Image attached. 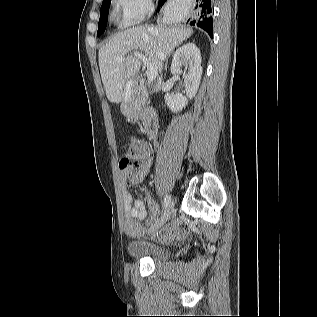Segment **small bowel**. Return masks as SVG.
Wrapping results in <instances>:
<instances>
[{"instance_id":"obj_1","label":"small bowel","mask_w":317,"mask_h":317,"mask_svg":"<svg viewBox=\"0 0 317 317\" xmlns=\"http://www.w3.org/2000/svg\"><path fill=\"white\" fill-rule=\"evenodd\" d=\"M137 148L141 154V157L145 161L146 172L150 167L149 159V148L143 142L137 143ZM129 179L125 173L122 174V185L123 189V201H124V212H125V232L129 236H137L143 228L137 223V220H143L146 217V211L142 198L133 199L131 194L125 189V186L129 183ZM139 181V180H138ZM132 181V182H138ZM147 202L152 215H157L159 208L154 200L147 197ZM153 222V218L149 220V224ZM188 233L187 229L181 228L179 223L174 221L166 224L158 233L157 236L161 239H172L178 236H182Z\"/></svg>"}]
</instances>
